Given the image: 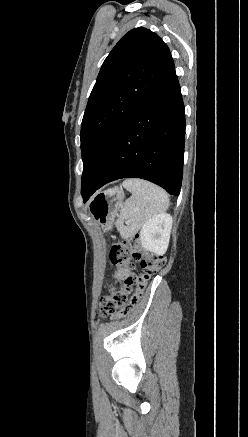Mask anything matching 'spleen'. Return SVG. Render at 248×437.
I'll list each match as a JSON object with an SVG mask.
<instances>
[{
	"label": "spleen",
	"instance_id": "obj_1",
	"mask_svg": "<svg viewBox=\"0 0 248 437\" xmlns=\"http://www.w3.org/2000/svg\"><path fill=\"white\" fill-rule=\"evenodd\" d=\"M123 187L132 195L121 207L115 225L122 238H129L152 217L168 209L169 197L159 186L137 178L125 180Z\"/></svg>",
	"mask_w": 248,
	"mask_h": 437
}]
</instances>
